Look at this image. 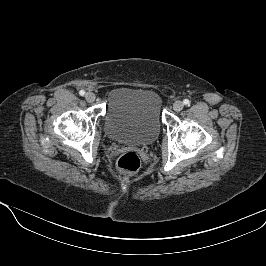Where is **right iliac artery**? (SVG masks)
Listing matches in <instances>:
<instances>
[{"label":"right iliac artery","mask_w":266,"mask_h":266,"mask_svg":"<svg viewBox=\"0 0 266 266\" xmlns=\"http://www.w3.org/2000/svg\"><path fill=\"white\" fill-rule=\"evenodd\" d=\"M79 94H80L81 96H84V95H85V91H84V90H80V91H79Z\"/></svg>","instance_id":"right-iliac-artery-1"}]
</instances>
